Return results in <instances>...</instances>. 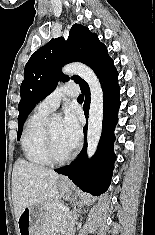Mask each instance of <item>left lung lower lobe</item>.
I'll return each instance as SVG.
<instances>
[{
	"mask_svg": "<svg viewBox=\"0 0 155 235\" xmlns=\"http://www.w3.org/2000/svg\"><path fill=\"white\" fill-rule=\"evenodd\" d=\"M103 89V123L102 134L95 155L87 160L86 135L87 127H84L85 146L76 161L55 171L68 176L83 191L99 196L106 192L111 183L112 171L116 156L113 151L115 137L113 134L117 123V114L120 107L118 85V72L111 61L98 75ZM85 95L84 112L88 119L90 105V89L88 84L81 88Z\"/></svg>",
	"mask_w": 155,
	"mask_h": 235,
	"instance_id": "obj_1",
	"label": "left lung lower lobe"
}]
</instances>
